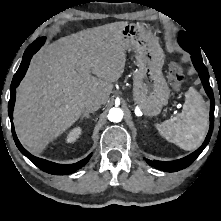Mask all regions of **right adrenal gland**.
Segmentation results:
<instances>
[{"label": "right adrenal gland", "instance_id": "obj_1", "mask_svg": "<svg viewBox=\"0 0 221 221\" xmlns=\"http://www.w3.org/2000/svg\"><path fill=\"white\" fill-rule=\"evenodd\" d=\"M90 113H94V111L86 110L82 116L80 117V120L82 121L84 118L89 119L90 118Z\"/></svg>", "mask_w": 221, "mask_h": 221}]
</instances>
